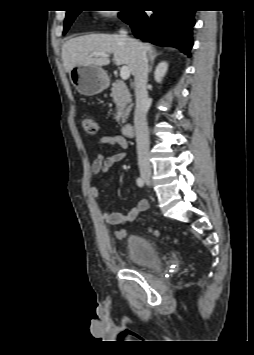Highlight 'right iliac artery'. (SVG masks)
<instances>
[{
	"instance_id": "1",
	"label": "right iliac artery",
	"mask_w": 254,
	"mask_h": 355,
	"mask_svg": "<svg viewBox=\"0 0 254 355\" xmlns=\"http://www.w3.org/2000/svg\"><path fill=\"white\" fill-rule=\"evenodd\" d=\"M136 182H137V185H138L139 187H143V186H144V183H145L144 180H143L142 178H140V177L137 178V181H136Z\"/></svg>"
}]
</instances>
